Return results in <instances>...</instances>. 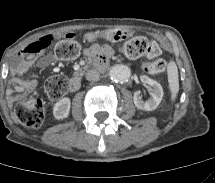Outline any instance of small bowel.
I'll list each match as a JSON object with an SVG mask.
<instances>
[{
  "instance_id": "1",
  "label": "small bowel",
  "mask_w": 215,
  "mask_h": 183,
  "mask_svg": "<svg viewBox=\"0 0 215 183\" xmlns=\"http://www.w3.org/2000/svg\"><path fill=\"white\" fill-rule=\"evenodd\" d=\"M66 34L69 35L72 33L67 32ZM61 36L62 34L60 33L45 35L35 41H32L19 53L18 60L12 68L13 77L8 82L7 95L10 101H14L18 97L23 96L36 88L37 83L35 80L24 81L19 76L25 74L32 67L47 66L56 61L54 56L45 53L47 49L40 52H32V46L40 41H48L52 45L53 41ZM108 52L109 48L107 46H99L97 44H94L85 50L86 55L91 58L96 57L99 53Z\"/></svg>"
}]
</instances>
